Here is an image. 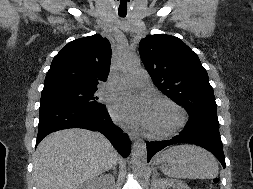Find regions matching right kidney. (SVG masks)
<instances>
[{
	"mask_svg": "<svg viewBox=\"0 0 253 189\" xmlns=\"http://www.w3.org/2000/svg\"><path fill=\"white\" fill-rule=\"evenodd\" d=\"M110 175L101 176L99 178H93L88 180L78 186L76 189H113L114 179L110 181L107 180V177Z\"/></svg>",
	"mask_w": 253,
	"mask_h": 189,
	"instance_id": "1",
	"label": "right kidney"
}]
</instances>
